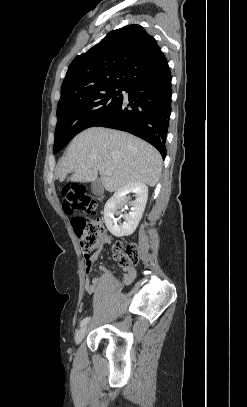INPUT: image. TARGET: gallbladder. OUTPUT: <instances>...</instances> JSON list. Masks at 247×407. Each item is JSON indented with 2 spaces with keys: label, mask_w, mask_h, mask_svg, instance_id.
Here are the masks:
<instances>
[{
  "label": "gallbladder",
  "mask_w": 247,
  "mask_h": 407,
  "mask_svg": "<svg viewBox=\"0 0 247 407\" xmlns=\"http://www.w3.org/2000/svg\"><path fill=\"white\" fill-rule=\"evenodd\" d=\"M91 189L93 191L94 194L99 195L103 193V186H102V182L100 179H96L95 181H93Z\"/></svg>",
  "instance_id": "bac80fb5"
}]
</instances>
